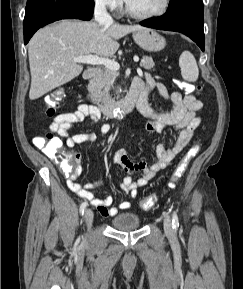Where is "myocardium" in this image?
Returning <instances> with one entry per match:
<instances>
[{"mask_svg": "<svg viewBox=\"0 0 243 289\" xmlns=\"http://www.w3.org/2000/svg\"><path fill=\"white\" fill-rule=\"evenodd\" d=\"M170 2H171L170 0H163L161 7L157 11L146 13V14H141V13H136L133 10H131L127 4V1H125L124 11L128 16L134 19H140V20L152 19V18H156L165 14L170 7Z\"/></svg>", "mask_w": 243, "mask_h": 289, "instance_id": "myocardium-1", "label": "myocardium"}]
</instances>
